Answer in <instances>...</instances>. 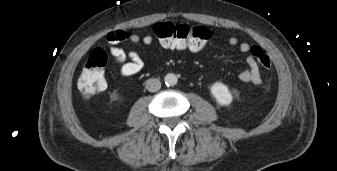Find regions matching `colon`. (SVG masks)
<instances>
[{
    "mask_svg": "<svg viewBox=\"0 0 337 171\" xmlns=\"http://www.w3.org/2000/svg\"><path fill=\"white\" fill-rule=\"evenodd\" d=\"M154 35L159 40V48L164 53H171L177 48H188L198 51L206 44L210 31L205 26H190L171 22H158L152 26ZM251 55L264 69L271 67V60L266 52L258 45L250 49ZM107 53L101 49H94L82 68L77 87L85 99H90L106 88L104 69L107 64Z\"/></svg>",
    "mask_w": 337,
    "mask_h": 171,
    "instance_id": "5ec220e1",
    "label": "colon"
}]
</instances>
